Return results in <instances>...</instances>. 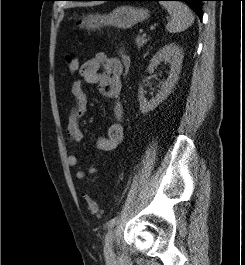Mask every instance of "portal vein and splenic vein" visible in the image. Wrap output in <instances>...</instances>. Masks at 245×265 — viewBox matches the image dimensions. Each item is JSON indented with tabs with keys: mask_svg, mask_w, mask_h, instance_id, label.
I'll list each match as a JSON object with an SVG mask.
<instances>
[{
	"mask_svg": "<svg viewBox=\"0 0 245 265\" xmlns=\"http://www.w3.org/2000/svg\"><path fill=\"white\" fill-rule=\"evenodd\" d=\"M147 34L146 33H143V36L145 37Z\"/></svg>",
	"mask_w": 245,
	"mask_h": 265,
	"instance_id": "obj_1",
	"label": "portal vein and splenic vein"
}]
</instances>
